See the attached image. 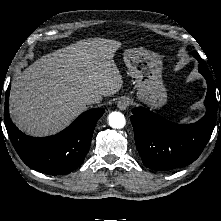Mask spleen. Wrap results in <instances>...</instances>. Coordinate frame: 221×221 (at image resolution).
Listing matches in <instances>:
<instances>
[{"instance_id":"spleen-1","label":"spleen","mask_w":221,"mask_h":221,"mask_svg":"<svg viewBox=\"0 0 221 221\" xmlns=\"http://www.w3.org/2000/svg\"><path fill=\"white\" fill-rule=\"evenodd\" d=\"M190 119H191V116L186 117V118H184V119L182 120V122L186 123V122H188Z\"/></svg>"}]
</instances>
